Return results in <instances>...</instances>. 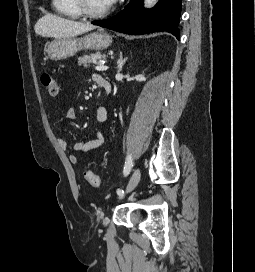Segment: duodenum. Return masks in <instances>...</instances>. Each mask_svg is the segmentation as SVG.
Segmentation results:
<instances>
[{
	"label": "duodenum",
	"instance_id": "410a0bca",
	"mask_svg": "<svg viewBox=\"0 0 255 272\" xmlns=\"http://www.w3.org/2000/svg\"><path fill=\"white\" fill-rule=\"evenodd\" d=\"M97 83L102 89L105 90L106 93H109L111 91L110 83L106 78H100Z\"/></svg>",
	"mask_w": 255,
	"mask_h": 272
}]
</instances>
